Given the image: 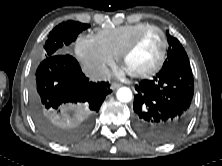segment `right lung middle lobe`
<instances>
[{"instance_id": "right-lung-middle-lobe-1", "label": "right lung middle lobe", "mask_w": 222, "mask_h": 166, "mask_svg": "<svg viewBox=\"0 0 222 166\" xmlns=\"http://www.w3.org/2000/svg\"><path fill=\"white\" fill-rule=\"evenodd\" d=\"M89 27L88 24H83L75 21H67L56 26L48 36V39L44 45L45 56L49 57L55 54L63 53L62 48L70 45L74 42L83 30ZM34 120L39 130L49 138L58 141L65 142L59 138L61 130L54 125V120L45 117L42 114L34 115Z\"/></svg>"}]
</instances>
